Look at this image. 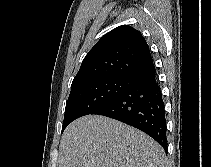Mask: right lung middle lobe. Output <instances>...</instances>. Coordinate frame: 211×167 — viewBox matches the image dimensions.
I'll list each match as a JSON object with an SVG mask.
<instances>
[{
    "mask_svg": "<svg viewBox=\"0 0 211 167\" xmlns=\"http://www.w3.org/2000/svg\"><path fill=\"white\" fill-rule=\"evenodd\" d=\"M128 77H102L71 88L66 103L63 130L75 119L93 114L129 87Z\"/></svg>",
    "mask_w": 211,
    "mask_h": 167,
    "instance_id": "1",
    "label": "right lung middle lobe"
}]
</instances>
